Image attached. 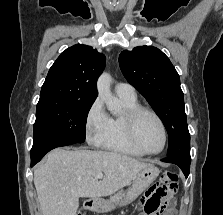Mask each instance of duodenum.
<instances>
[{
    "mask_svg": "<svg viewBox=\"0 0 223 215\" xmlns=\"http://www.w3.org/2000/svg\"><path fill=\"white\" fill-rule=\"evenodd\" d=\"M104 201L100 198H93L86 203V209L92 214H98L103 210Z\"/></svg>",
    "mask_w": 223,
    "mask_h": 215,
    "instance_id": "obj_1",
    "label": "duodenum"
}]
</instances>
